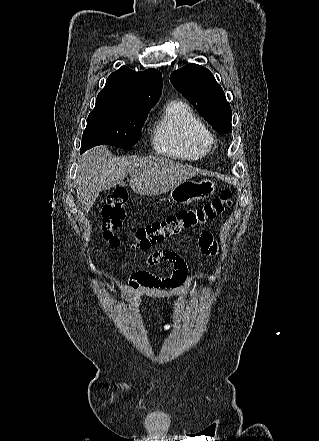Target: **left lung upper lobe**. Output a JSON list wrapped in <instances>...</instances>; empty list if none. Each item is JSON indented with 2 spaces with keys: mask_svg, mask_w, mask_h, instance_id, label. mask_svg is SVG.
Returning <instances> with one entry per match:
<instances>
[{
  "mask_svg": "<svg viewBox=\"0 0 319 441\" xmlns=\"http://www.w3.org/2000/svg\"><path fill=\"white\" fill-rule=\"evenodd\" d=\"M170 81L216 132H232L231 107L223 89L208 69L191 63L173 71Z\"/></svg>",
  "mask_w": 319,
  "mask_h": 441,
  "instance_id": "5c2ea615",
  "label": "left lung upper lobe"
}]
</instances>
